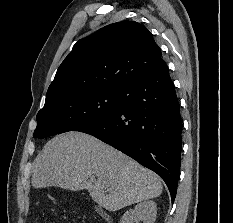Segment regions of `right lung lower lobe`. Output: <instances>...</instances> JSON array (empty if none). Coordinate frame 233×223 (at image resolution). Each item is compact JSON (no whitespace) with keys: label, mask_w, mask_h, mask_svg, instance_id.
Masks as SVG:
<instances>
[{"label":"right lung lower lobe","mask_w":233,"mask_h":223,"mask_svg":"<svg viewBox=\"0 0 233 223\" xmlns=\"http://www.w3.org/2000/svg\"><path fill=\"white\" fill-rule=\"evenodd\" d=\"M78 131L95 136L153 170L165 181L174 201L181 165L182 121L167 65L120 88L117 111Z\"/></svg>","instance_id":"1"}]
</instances>
